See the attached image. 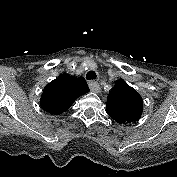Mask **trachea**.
Returning a JSON list of instances; mask_svg holds the SVG:
<instances>
[{"label":"trachea","instance_id":"3493384b","mask_svg":"<svg viewBox=\"0 0 177 177\" xmlns=\"http://www.w3.org/2000/svg\"><path fill=\"white\" fill-rule=\"evenodd\" d=\"M86 79L87 80H94V79H96V73L94 71H89L86 74Z\"/></svg>","mask_w":177,"mask_h":177}]
</instances>
